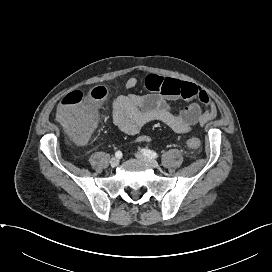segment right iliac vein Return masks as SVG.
I'll return each mask as SVG.
<instances>
[{"instance_id":"63e3f726","label":"right iliac vein","mask_w":272,"mask_h":272,"mask_svg":"<svg viewBox=\"0 0 272 272\" xmlns=\"http://www.w3.org/2000/svg\"><path fill=\"white\" fill-rule=\"evenodd\" d=\"M118 164H119V158H117V157L111 158V160H110L111 167H116V166H118Z\"/></svg>"}]
</instances>
